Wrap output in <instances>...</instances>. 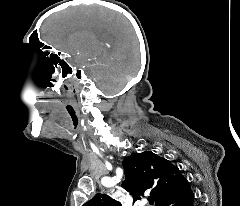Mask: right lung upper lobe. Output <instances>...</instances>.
I'll use <instances>...</instances> for the list:
<instances>
[{"mask_svg":"<svg viewBox=\"0 0 240 206\" xmlns=\"http://www.w3.org/2000/svg\"><path fill=\"white\" fill-rule=\"evenodd\" d=\"M126 180L122 187L133 197L134 202L149 192L156 199V206L180 192L188 181L177 166L151 151L135 153L123 162ZM83 206H121L107 194H97Z\"/></svg>","mask_w":240,"mask_h":206,"instance_id":"right-lung-upper-lobe-1","label":"right lung upper lobe"}]
</instances>
